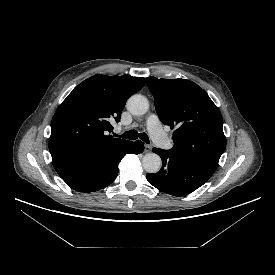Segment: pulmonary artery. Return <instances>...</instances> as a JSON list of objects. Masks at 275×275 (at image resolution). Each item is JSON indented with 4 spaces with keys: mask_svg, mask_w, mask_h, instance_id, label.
<instances>
[{
    "mask_svg": "<svg viewBox=\"0 0 275 275\" xmlns=\"http://www.w3.org/2000/svg\"><path fill=\"white\" fill-rule=\"evenodd\" d=\"M147 129L153 141L161 148L168 149L171 144L167 136L162 130L161 123L157 115L152 114L147 119Z\"/></svg>",
    "mask_w": 275,
    "mask_h": 275,
    "instance_id": "e3ab8cb5",
    "label": "pulmonary artery"
}]
</instances>
